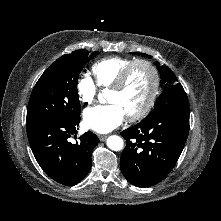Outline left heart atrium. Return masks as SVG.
Listing matches in <instances>:
<instances>
[{
    "label": "left heart atrium",
    "mask_w": 221,
    "mask_h": 221,
    "mask_svg": "<svg viewBox=\"0 0 221 221\" xmlns=\"http://www.w3.org/2000/svg\"><path fill=\"white\" fill-rule=\"evenodd\" d=\"M125 112L117 103L91 107L84 112V124L98 133H107L117 128L125 119Z\"/></svg>",
    "instance_id": "left-heart-atrium-1"
}]
</instances>
